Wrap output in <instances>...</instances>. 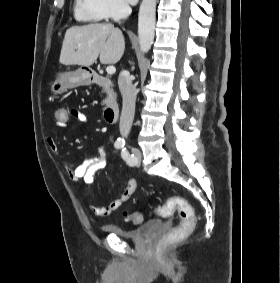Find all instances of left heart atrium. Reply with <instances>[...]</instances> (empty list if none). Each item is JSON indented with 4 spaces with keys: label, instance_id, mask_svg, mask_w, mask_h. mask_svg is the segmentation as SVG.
Segmentation results:
<instances>
[{
    "label": "left heart atrium",
    "instance_id": "39dd6f15",
    "mask_svg": "<svg viewBox=\"0 0 280 283\" xmlns=\"http://www.w3.org/2000/svg\"><path fill=\"white\" fill-rule=\"evenodd\" d=\"M127 1H128V3H130V4L134 5V4H136V3H137V1H138V0H127Z\"/></svg>",
    "mask_w": 280,
    "mask_h": 283
}]
</instances>
